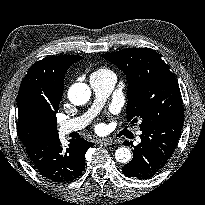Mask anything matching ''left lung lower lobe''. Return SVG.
Returning <instances> with one entry per match:
<instances>
[{
	"mask_svg": "<svg viewBox=\"0 0 205 205\" xmlns=\"http://www.w3.org/2000/svg\"><path fill=\"white\" fill-rule=\"evenodd\" d=\"M183 117L158 122L145 128L140 135L141 143L133 146V159L122 172L127 177L148 179L159 172L168 162L178 143ZM133 145L132 142H125Z\"/></svg>",
	"mask_w": 205,
	"mask_h": 205,
	"instance_id": "left-lung-lower-lobe-1",
	"label": "left lung lower lobe"
}]
</instances>
